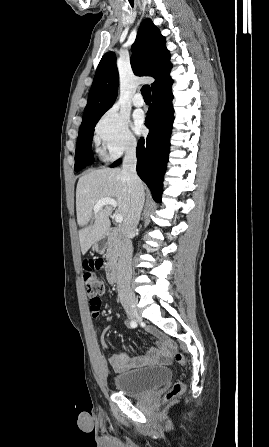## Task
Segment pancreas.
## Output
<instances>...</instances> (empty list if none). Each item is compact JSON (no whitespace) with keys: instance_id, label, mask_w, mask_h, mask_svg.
Masks as SVG:
<instances>
[{"instance_id":"1","label":"pancreas","mask_w":269,"mask_h":447,"mask_svg":"<svg viewBox=\"0 0 269 447\" xmlns=\"http://www.w3.org/2000/svg\"><path fill=\"white\" fill-rule=\"evenodd\" d=\"M121 251V243L118 237H109L107 251L105 253L108 263H116Z\"/></svg>"}]
</instances>
